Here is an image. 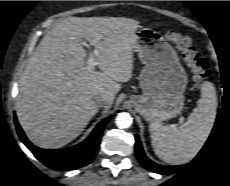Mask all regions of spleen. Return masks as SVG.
I'll return each mask as SVG.
<instances>
[{
	"mask_svg": "<svg viewBox=\"0 0 230 186\" xmlns=\"http://www.w3.org/2000/svg\"><path fill=\"white\" fill-rule=\"evenodd\" d=\"M217 102L214 85L205 81L201 85L198 106L179 128L151 122L149 131L155 154L164 162L175 165L191 161L211 133L217 114Z\"/></svg>",
	"mask_w": 230,
	"mask_h": 186,
	"instance_id": "spleen-1",
	"label": "spleen"
}]
</instances>
